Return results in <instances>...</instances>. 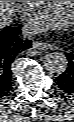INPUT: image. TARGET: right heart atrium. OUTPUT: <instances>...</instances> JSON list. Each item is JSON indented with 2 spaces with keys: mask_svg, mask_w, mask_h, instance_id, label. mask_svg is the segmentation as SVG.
Wrapping results in <instances>:
<instances>
[{
  "mask_svg": "<svg viewBox=\"0 0 74 122\" xmlns=\"http://www.w3.org/2000/svg\"><path fill=\"white\" fill-rule=\"evenodd\" d=\"M38 2L40 1H22L23 6L28 10L33 8Z\"/></svg>",
  "mask_w": 74,
  "mask_h": 122,
  "instance_id": "right-heart-atrium-1",
  "label": "right heart atrium"
}]
</instances>
